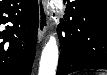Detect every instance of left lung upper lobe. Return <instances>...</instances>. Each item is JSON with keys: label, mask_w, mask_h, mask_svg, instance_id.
<instances>
[{"label": "left lung upper lobe", "mask_w": 107, "mask_h": 75, "mask_svg": "<svg viewBox=\"0 0 107 75\" xmlns=\"http://www.w3.org/2000/svg\"><path fill=\"white\" fill-rule=\"evenodd\" d=\"M97 10L107 11V0H95L90 4H82L71 14L69 20L71 19L70 21L74 23V29L77 36L86 39V33L82 28L81 18L84 14L95 13Z\"/></svg>", "instance_id": "1"}]
</instances>
